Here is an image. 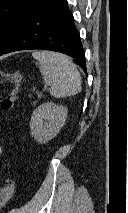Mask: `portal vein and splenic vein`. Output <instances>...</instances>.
Instances as JSON below:
<instances>
[{
  "instance_id": "obj_1",
  "label": "portal vein and splenic vein",
  "mask_w": 128,
  "mask_h": 213,
  "mask_svg": "<svg viewBox=\"0 0 128 213\" xmlns=\"http://www.w3.org/2000/svg\"><path fill=\"white\" fill-rule=\"evenodd\" d=\"M47 88H48V85H45V87H44V90H43V91H45ZM41 95H42V93H41V92H38V93H37V96H38V97H40Z\"/></svg>"
}]
</instances>
